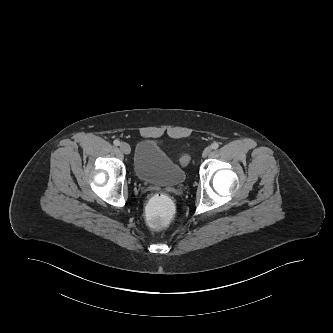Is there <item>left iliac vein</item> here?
I'll return each instance as SVG.
<instances>
[{
	"label": "left iliac vein",
	"mask_w": 333,
	"mask_h": 333,
	"mask_svg": "<svg viewBox=\"0 0 333 333\" xmlns=\"http://www.w3.org/2000/svg\"><path fill=\"white\" fill-rule=\"evenodd\" d=\"M212 149L211 147H207L204 151H203V157H207L210 153H211Z\"/></svg>",
	"instance_id": "left-iliac-vein-1"
}]
</instances>
